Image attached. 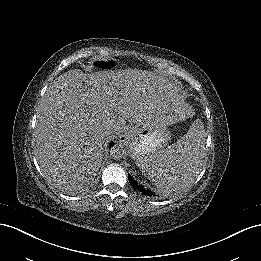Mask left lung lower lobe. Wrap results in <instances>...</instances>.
Returning a JSON list of instances; mask_svg holds the SVG:
<instances>
[{
  "mask_svg": "<svg viewBox=\"0 0 261 261\" xmlns=\"http://www.w3.org/2000/svg\"><path fill=\"white\" fill-rule=\"evenodd\" d=\"M129 182L134 189L139 190L143 195L154 196L153 192L146 190L142 185H139L131 176H129Z\"/></svg>",
  "mask_w": 261,
  "mask_h": 261,
  "instance_id": "left-lung-lower-lobe-1",
  "label": "left lung lower lobe"
}]
</instances>
